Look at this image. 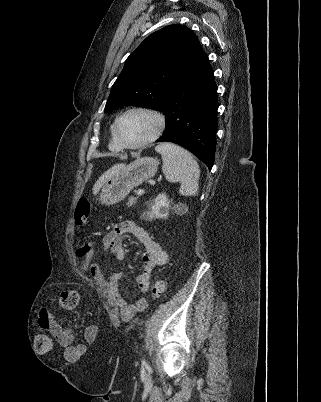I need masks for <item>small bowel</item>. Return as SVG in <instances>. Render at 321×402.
I'll use <instances>...</instances> for the list:
<instances>
[{"label":"small bowel","instance_id":"c3829d8e","mask_svg":"<svg viewBox=\"0 0 321 402\" xmlns=\"http://www.w3.org/2000/svg\"><path fill=\"white\" fill-rule=\"evenodd\" d=\"M125 234L133 235L143 246L144 251L141 255L143 271L136 281L138 293L144 294L150 286L151 271L167 263L168 254L150 235V233L132 221H123L116 224L102 240V254H110L117 260H122L125 256V248L122 236ZM91 276L100 282H105V275L98 263L90 268ZM122 278L120 273H114L107 281L110 295L119 310L123 321H130L136 314L146 309V300L144 297H138L133 303L126 302L120 295L119 282ZM38 322L41 328L48 330L60 342L64 348V356L67 360L84 358L86 347H93L95 344V335H98L99 328L96 324L90 323L86 326L83 336L84 344H75L72 327L63 322L55 320L52 311L48 307L41 308Z\"/></svg>","mask_w":321,"mask_h":402}]
</instances>
